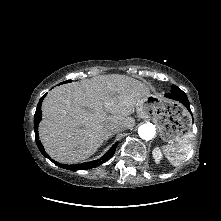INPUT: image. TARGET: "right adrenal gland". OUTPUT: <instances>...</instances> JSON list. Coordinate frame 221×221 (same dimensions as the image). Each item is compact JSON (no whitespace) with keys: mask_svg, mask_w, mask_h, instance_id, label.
Returning <instances> with one entry per match:
<instances>
[{"mask_svg":"<svg viewBox=\"0 0 221 221\" xmlns=\"http://www.w3.org/2000/svg\"><path fill=\"white\" fill-rule=\"evenodd\" d=\"M111 135H107L106 138H105V142L109 139Z\"/></svg>","mask_w":221,"mask_h":221,"instance_id":"obj_1","label":"right adrenal gland"}]
</instances>
